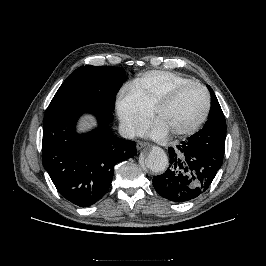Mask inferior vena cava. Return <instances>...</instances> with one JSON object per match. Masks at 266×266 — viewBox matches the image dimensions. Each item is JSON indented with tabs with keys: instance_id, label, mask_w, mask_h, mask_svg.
Returning a JSON list of instances; mask_svg holds the SVG:
<instances>
[{
	"instance_id": "1",
	"label": "inferior vena cava",
	"mask_w": 266,
	"mask_h": 266,
	"mask_svg": "<svg viewBox=\"0 0 266 266\" xmlns=\"http://www.w3.org/2000/svg\"><path fill=\"white\" fill-rule=\"evenodd\" d=\"M119 133L126 139H133L138 133V128L131 124L121 123L119 125Z\"/></svg>"
}]
</instances>
